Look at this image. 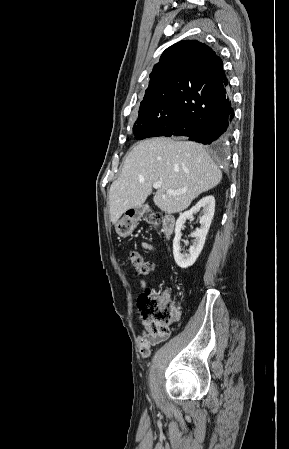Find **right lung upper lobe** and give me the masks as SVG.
Returning <instances> with one entry per match:
<instances>
[{
    "label": "right lung upper lobe",
    "instance_id": "cb5924a9",
    "mask_svg": "<svg viewBox=\"0 0 289 449\" xmlns=\"http://www.w3.org/2000/svg\"><path fill=\"white\" fill-rule=\"evenodd\" d=\"M223 68L219 56L197 40H185L168 47L150 74L145 96L174 92L179 81H207Z\"/></svg>",
    "mask_w": 289,
    "mask_h": 449
}]
</instances>
